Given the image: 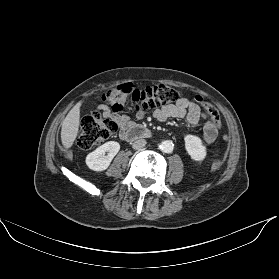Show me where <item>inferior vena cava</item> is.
I'll return each instance as SVG.
<instances>
[{
	"mask_svg": "<svg viewBox=\"0 0 279 279\" xmlns=\"http://www.w3.org/2000/svg\"><path fill=\"white\" fill-rule=\"evenodd\" d=\"M146 140L145 139H139L133 142L132 147L133 149H141L146 145Z\"/></svg>",
	"mask_w": 279,
	"mask_h": 279,
	"instance_id": "inferior-vena-cava-1",
	"label": "inferior vena cava"
}]
</instances>
